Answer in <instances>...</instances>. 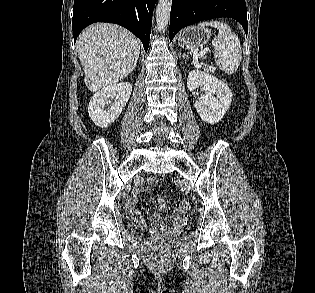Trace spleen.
<instances>
[{
    "mask_svg": "<svg viewBox=\"0 0 315 293\" xmlns=\"http://www.w3.org/2000/svg\"><path fill=\"white\" fill-rule=\"evenodd\" d=\"M207 26L218 30L217 37L212 41L215 47L214 59L216 65L226 74L234 73L241 62L242 51L240 41L230 27L221 21L202 22L193 29H203Z\"/></svg>",
    "mask_w": 315,
    "mask_h": 293,
    "instance_id": "3e777b00",
    "label": "spleen"
}]
</instances>
